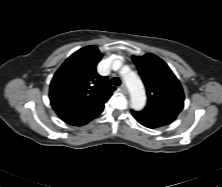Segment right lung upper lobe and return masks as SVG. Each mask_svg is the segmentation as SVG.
Returning a JSON list of instances; mask_svg holds the SVG:
<instances>
[{
	"mask_svg": "<svg viewBox=\"0 0 222 187\" xmlns=\"http://www.w3.org/2000/svg\"><path fill=\"white\" fill-rule=\"evenodd\" d=\"M102 54L96 46L73 53L55 73L50 84V102L63 121L99 115L115 87L96 71Z\"/></svg>",
	"mask_w": 222,
	"mask_h": 187,
	"instance_id": "cb5924a9",
	"label": "right lung upper lobe"
}]
</instances>
